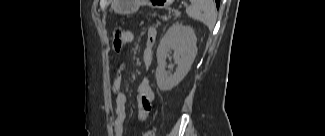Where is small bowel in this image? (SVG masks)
<instances>
[{
	"instance_id": "c3829d8e",
	"label": "small bowel",
	"mask_w": 325,
	"mask_h": 136,
	"mask_svg": "<svg viewBox=\"0 0 325 136\" xmlns=\"http://www.w3.org/2000/svg\"><path fill=\"white\" fill-rule=\"evenodd\" d=\"M126 43H130L134 39V34L131 30H123ZM157 37L156 29L149 28L146 33V44L144 53L142 56L143 63L148 67L152 62L151 48ZM125 65L120 64L114 69V76L111 83V90L115 98V118L112 124L114 134L116 136H122L124 134V123L126 119V105L127 96L122 91V85L124 81ZM153 99V91L149 85L148 80H143L137 91V115L139 121H145L151 111V103Z\"/></svg>"
}]
</instances>
